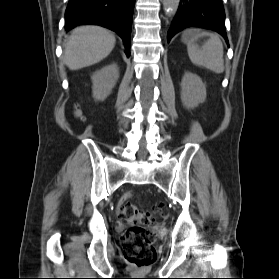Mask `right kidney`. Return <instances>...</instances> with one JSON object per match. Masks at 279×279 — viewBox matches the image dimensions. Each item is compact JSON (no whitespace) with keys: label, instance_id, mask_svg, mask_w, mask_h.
<instances>
[{"label":"right kidney","instance_id":"ca27d5eb","mask_svg":"<svg viewBox=\"0 0 279 279\" xmlns=\"http://www.w3.org/2000/svg\"><path fill=\"white\" fill-rule=\"evenodd\" d=\"M119 78V68L113 63L96 71L92 79V93L97 101L105 100L112 92Z\"/></svg>","mask_w":279,"mask_h":279}]
</instances>
